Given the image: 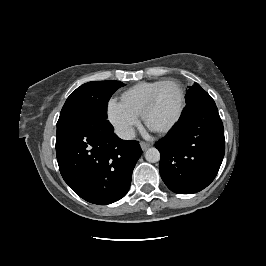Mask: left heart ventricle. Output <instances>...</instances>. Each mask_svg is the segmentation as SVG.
Instances as JSON below:
<instances>
[{"label":"left heart ventricle","instance_id":"b2bd125f","mask_svg":"<svg viewBox=\"0 0 266 266\" xmlns=\"http://www.w3.org/2000/svg\"><path fill=\"white\" fill-rule=\"evenodd\" d=\"M180 103L179 89L175 84L165 85L149 111L147 123L151 129L166 126L175 116Z\"/></svg>","mask_w":266,"mask_h":266}]
</instances>
